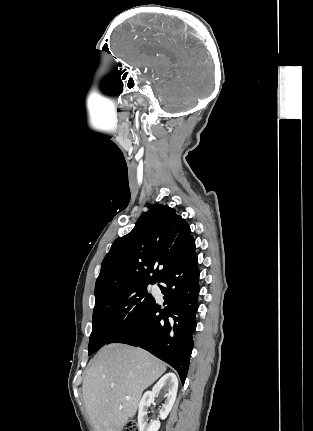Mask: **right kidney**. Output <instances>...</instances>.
<instances>
[{
  "label": "right kidney",
  "mask_w": 313,
  "mask_h": 431,
  "mask_svg": "<svg viewBox=\"0 0 313 431\" xmlns=\"http://www.w3.org/2000/svg\"><path fill=\"white\" fill-rule=\"evenodd\" d=\"M163 390L165 394V402L160 410V418L165 419L171 411L173 404L176 400L178 390V380L175 374H165L152 388V391H147L143 395L138 410V427L139 431H158L160 428V422L153 420L150 423L148 421V408L154 401L155 396Z\"/></svg>",
  "instance_id": "ca27d5eb"
}]
</instances>
